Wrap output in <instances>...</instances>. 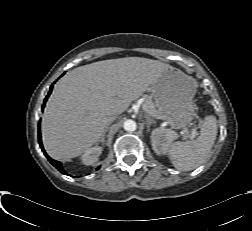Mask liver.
Listing matches in <instances>:
<instances>
[{
	"label": "liver",
	"mask_w": 252,
	"mask_h": 231,
	"mask_svg": "<svg viewBox=\"0 0 252 231\" xmlns=\"http://www.w3.org/2000/svg\"><path fill=\"white\" fill-rule=\"evenodd\" d=\"M169 67L158 60L126 57L68 72L54 88L42 116L47 153L65 161L85 153L102 138L107 117L127 110Z\"/></svg>",
	"instance_id": "1"
}]
</instances>
